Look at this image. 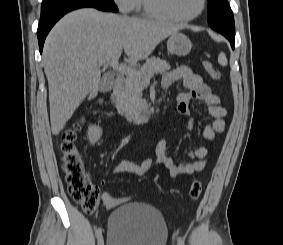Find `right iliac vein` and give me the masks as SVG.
<instances>
[{
  "label": "right iliac vein",
  "instance_id": "63e3f726",
  "mask_svg": "<svg viewBox=\"0 0 283 245\" xmlns=\"http://www.w3.org/2000/svg\"><path fill=\"white\" fill-rule=\"evenodd\" d=\"M98 245H104L103 237H100V238L98 239Z\"/></svg>",
  "mask_w": 283,
  "mask_h": 245
}]
</instances>
